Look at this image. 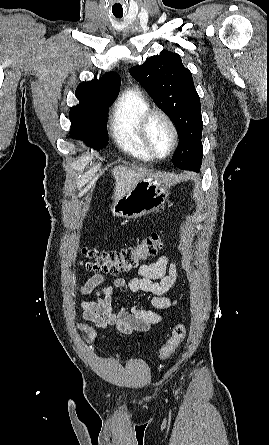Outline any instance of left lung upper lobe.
<instances>
[{
	"instance_id": "1",
	"label": "left lung upper lobe",
	"mask_w": 269,
	"mask_h": 445,
	"mask_svg": "<svg viewBox=\"0 0 269 445\" xmlns=\"http://www.w3.org/2000/svg\"><path fill=\"white\" fill-rule=\"evenodd\" d=\"M130 74L176 126L179 145L172 157L174 166L197 171L203 157L200 98L180 55L162 51L132 67Z\"/></svg>"
}]
</instances>
